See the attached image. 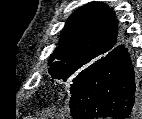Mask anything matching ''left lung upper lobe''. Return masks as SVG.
Masks as SVG:
<instances>
[{
    "label": "left lung upper lobe",
    "mask_w": 142,
    "mask_h": 119,
    "mask_svg": "<svg viewBox=\"0 0 142 119\" xmlns=\"http://www.w3.org/2000/svg\"><path fill=\"white\" fill-rule=\"evenodd\" d=\"M116 20L101 2H90L77 9L61 33L49 59L53 79L71 81L75 91L85 76L119 43Z\"/></svg>",
    "instance_id": "1"
}]
</instances>
